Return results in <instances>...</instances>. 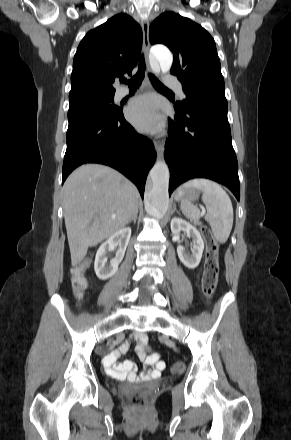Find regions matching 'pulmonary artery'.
Here are the masks:
<instances>
[{
    "mask_svg": "<svg viewBox=\"0 0 291 440\" xmlns=\"http://www.w3.org/2000/svg\"><path fill=\"white\" fill-rule=\"evenodd\" d=\"M167 83L174 88L180 95L181 98H185V93L183 92L182 86L176 81V78L173 75H168L166 77ZM129 93V89L127 87L121 88L117 91V98L122 99Z\"/></svg>",
    "mask_w": 291,
    "mask_h": 440,
    "instance_id": "1",
    "label": "pulmonary artery"
}]
</instances>
